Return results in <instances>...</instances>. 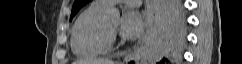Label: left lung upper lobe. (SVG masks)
<instances>
[{
  "instance_id": "left-lung-upper-lobe-1",
  "label": "left lung upper lobe",
  "mask_w": 242,
  "mask_h": 64,
  "mask_svg": "<svg viewBox=\"0 0 242 64\" xmlns=\"http://www.w3.org/2000/svg\"><path fill=\"white\" fill-rule=\"evenodd\" d=\"M90 0H75L74 4H73V8H72V12H71V17L70 20L72 19V17H74L76 15V13L87 3H89Z\"/></svg>"
}]
</instances>
